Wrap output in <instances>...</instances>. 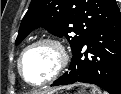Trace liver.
Returning <instances> with one entry per match:
<instances>
[{
	"label": "liver",
	"mask_w": 121,
	"mask_h": 94,
	"mask_svg": "<svg viewBox=\"0 0 121 94\" xmlns=\"http://www.w3.org/2000/svg\"><path fill=\"white\" fill-rule=\"evenodd\" d=\"M37 94H46V92H45V91H43V92H39V93H37Z\"/></svg>",
	"instance_id": "obj_1"
}]
</instances>
